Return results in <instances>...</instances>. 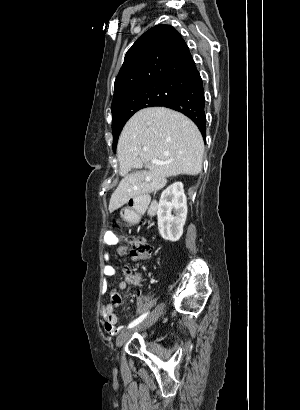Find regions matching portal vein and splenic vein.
<instances>
[{"label": "portal vein and splenic vein", "mask_w": 300, "mask_h": 410, "mask_svg": "<svg viewBox=\"0 0 300 410\" xmlns=\"http://www.w3.org/2000/svg\"><path fill=\"white\" fill-rule=\"evenodd\" d=\"M153 164H163V162H161V161H159V160H157V159H153L152 161H151Z\"/></svg>", "instance_id": "portal-vein-and-splenic-vein-1"}]
</instances>
